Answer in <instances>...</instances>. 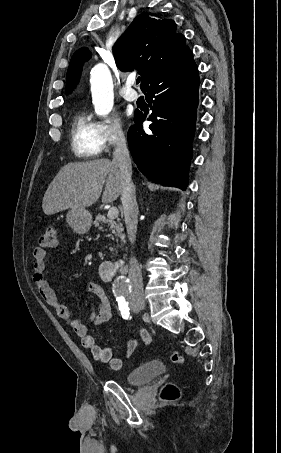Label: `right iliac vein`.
<instances>
[{
  "label": "right iliac vein",
  "instance_id": "63e3f726",
  "mask_svg": "<svg viewBox=\"0 0 281 453\" xmlns=\"http://www.w3.org/2000/svg\"><path fill=\"white\" fill-rule=\"evenodd\" d=\"M133 304L135 307L141 308L144 304V301H133Z\"/></svg>",
  "mask_w": 281,
  "mask_h": 453
}]
</instances>
